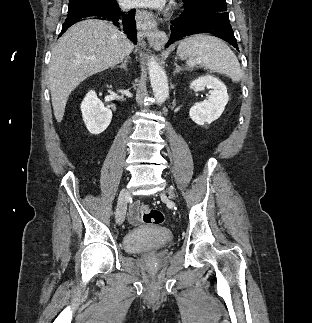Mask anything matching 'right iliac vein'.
<instances>
[{
    "label": "right iliac vein",
    "mask_w": 312,
    "mask_h": 323,
    "mask_svg": "<svg viewBox=\"0 0 312 323\" xmlns=\"http://www.w3.org/2000/svg\"><path fill=\"white\" fill-rule=\"evenodd\" d=\"M130 197V194L127 189H122L118 196V210H117V223L122 224L125 220L126 210H127V199Z\"/></svg>",
    "instance_id": "63e3f726"
}]
</instances>
